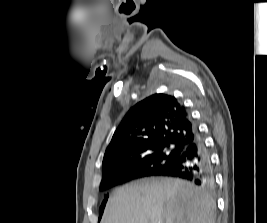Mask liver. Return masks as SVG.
<instances>
[{"mask_svg": "<svg viewBox=\"0 0 267 223\" xmlns=\"http://www.w3.org/2000/svg\"><path fill=\"white\" fill-rule=\"evenodd\" d=\"M215 208L212 197L189 182L147 178L117 188L102 223H215Z\"/></svg>", "mask_w": 267, "mask_h": 223, "instance_id": "6515ba94", "label": "liver"}]
</instances>
